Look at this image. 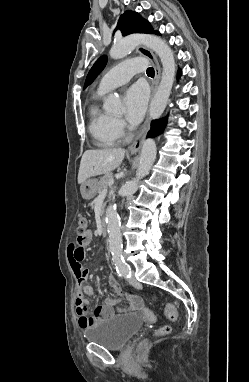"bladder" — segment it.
<instances>
[{
	"label": "bladder",
	"mask_w": 249,
	"mask_h": 382,
	"mask_svg": "<svg viewBox=\"0 0 249 382\" xmlns=\"http://www.w3.org/2000/svg\"><path fill=\"white\" fill-rule=\"evenodd\" d=\"M143 325L144 321L138 315H114L86 328L84 337L88 342L100 344L110 350H119Z\"/></svg>",
	"instance_id": "1"
}]
</instances>
